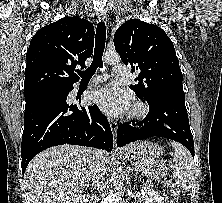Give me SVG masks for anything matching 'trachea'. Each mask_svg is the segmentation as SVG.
I'll return each instance as SVG.
<instances>
[{"mask_svg": "<svg viewBox=\"0 0 222 203\" xmlns=\"http://www.w3.org/2000/svg\"><path fill=\"white\" fill-rule=\"evenodd\" d=\"M106 26L104 21H100L96 28L95 50L91 66L85 71H79L78 74L82 80H89L96 72L97 68H103L102 56L105 48Z\"/></svg>", "mask_w": 222, "mask_h": 203, "instance_id": "trachea-1", "label": "trachea"}]
</instances>
